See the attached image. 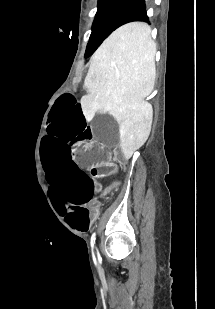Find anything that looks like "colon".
<instances>
[{
	"label": "colon",
	"mask_w": 215,
	"mask_h": 309,
	"mask_svg": "<svg viewBox=\"0 0 215 309\" xmlns=\"http://www.w3.org/2000/svg\"><path fill=\"white\" fill-rule=\"evenodd\" d=\"M101 157H103V156H99V157H97L96 159H99V158H101ZM95 165H96V169H97L100 173H102V174H106V173L111 172V167H110L109 161H107V160L105 159V157L103 158V160L99 161V162L96 163ZM116 186H117V183H114V184L112 185L111 188L113 189V188H115ZM106 194H107V191H104V192L102 193V196H105Z\"/></svg>",
	"instance_id": "5ec220e1"
}]
</instances>
